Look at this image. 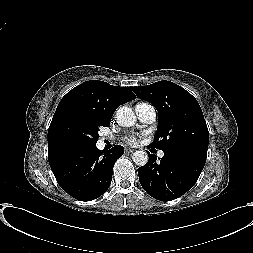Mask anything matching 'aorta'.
Instances as JSON below:
<instances>
[{
	"label": "aorta",
	"instance_id": "aorta-1",
	"mask_svg": "<svg viewBox=\"0 0 253 253\" xmlns=\"http://www.w3.org/2000/svg\"><path fill=\"white\" fill-rule=\"evenodd\" d=\"M117 123L122 127H131L136 122V116L131 108L122 106L117 110L116 114ZM133 162L138 166H144L148 162V154L139 150L133 154Z\"/></svg>",
	"mask_w": 253,
	"mask_h": 253
}]
</instances>
